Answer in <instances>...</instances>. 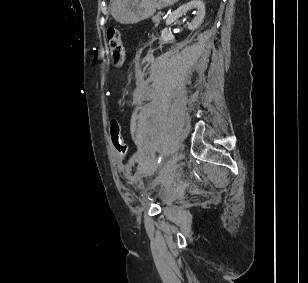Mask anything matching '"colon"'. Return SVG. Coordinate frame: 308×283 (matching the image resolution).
I'll use <instances>...</instances> for the list:
<instances>
[{
    "mask_svg": "<svg viewBox=\"0 0 308 283\" xmlns=\"http://www.w3.org/2000/svg\"><path fill=\"white\" fill-rule=\"evenodd\" d=\"M106 38L113 61L116 64L122 63L125 57V50L120 31L116 28L110 27L106 31ZM110 137L116 152L124 157L127 152V146L121 124L118 120H111L110 122Z\"/></svg>",
    "mask_w": 308,
    "mask_h": 283,
    "instance_id": "obj_1",
    "label": "colon"
}]
</instances>
